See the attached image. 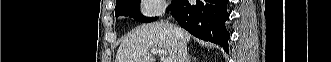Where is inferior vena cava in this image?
<instances>
[{
  "label": "inferior vena cava",
  "instance_id": "obj_1",
  "mask_svg": "<svg viewBox=\"0 0 331 62\" xmlns=\"http://www.w3.org/2000/svg\"><path fill=\"white\" fill-rule=\"evenodd\" d=\"M186 61H187V47L183 41L179 40L177 43L176 62H186Z\"/></svg>",
  "mask_w": 331,
  "mask_h": 62
}]
</instances>
